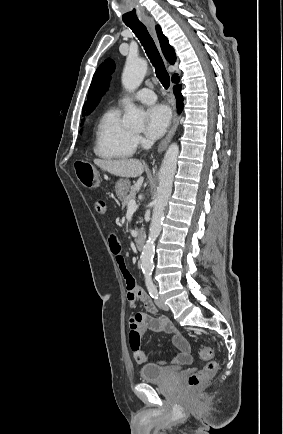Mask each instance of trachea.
Segmentation results:
<instances>
[{"instance_id": "3493384b", "label": "trachea", "mask_w": 283, "mask_h": 434, "mask_svg": "<svg viewBox=\"0 0 283 434\" xmlns=\"http://www.w3.org/2000/svg\"><path fill=\"white\" fill-rule=\"evenodd\" d=\"M126 25L134 32L144 50L155 68V73L161 84L165 89L170 86V77L165 68L162 57L150 36L146 26L141 22L126 23Z\"/></svg>"}]
</instances>
